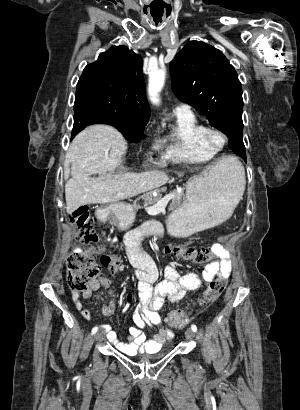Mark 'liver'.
<instances>
[{"mask_svg": "<svg viewBox=\"0 0 300 410\" xmlns=\"http://www.w3.org/2000/svg\"><path fill=\"white\" fill-rule=\"evenodd\" d=\"M126 151L125 139L111 126H88L74 138L64 164L65 173L71 164L72 176L65 184L68 214L82 205L118 202L167 183L168 176L160 170L114 174Z\"/></svg>", "mask_w": 300, "mask_h": 410, "instance_id": "obj_1", "label": "liver"}]
</instances>
